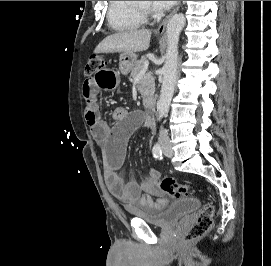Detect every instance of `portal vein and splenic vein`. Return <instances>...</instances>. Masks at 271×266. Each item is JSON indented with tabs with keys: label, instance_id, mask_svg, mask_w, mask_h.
<instances>
[{
	"label": "portal vein and splenic vein",
	"instance_id": "18ae733b",
	"mask_svg": "<svg viewBox=\"0 0 271 266\" xmlns=\"http://www.w3.org/2000/svg\"><path fill=\"white\" fill-rule=\"evenodd\" d=\"M148 66H149V62L146 61V62L144 63V68H143V70L140 71V74H144V73L146 72V70L148 69Z\"/></svg>",
	"mask_w": 271,
	"mask_h": 266
}]
</instances>
